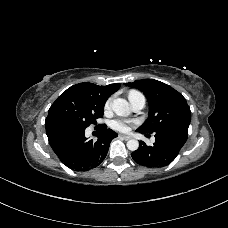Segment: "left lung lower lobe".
<instances>
[{
	"label": "left lung lower lobe",
	"instance_id": "1",
	"mask_svg": "<svg viewBox=\"0 0 228 228\" xmlns=\"http://www.w3.org/2000/svg\"><path fill=\"white\" fill-rule=\"evenodd\" d=\"M187 125H172L155 133L153 146L141 141L139 148L131 153L134 161L150 168L169 165L178 155L188 137ZM138 132L145 134L137 129Z\"/></svg>",
	"mask_w": 228,
	"mask_h": 228
}]
</instances>
